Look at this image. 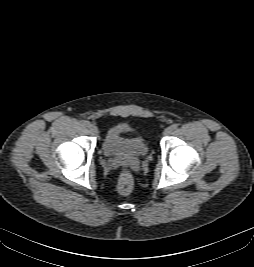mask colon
Returning <instances> with one entry per match:
<instances>
[{
	"mask_svg": "<svg viewBox=\"0 0 254 267\" xmlns=\"http://www.w3.org/2000/svg\"><path fill=\"white\" fill-rule=\"evenodd\" d=\"M134 186V179L132 173L128 169H124L117 181V191L122 195L129 194Z\"/></svg>",
	"mask_w": 254,
	"mask_h": 267,
	"instance_id": "obj_1",
	"label": "colon"
}]
</instances>
